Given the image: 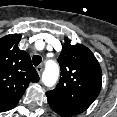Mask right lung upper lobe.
<instances>
[{"instance_id":"cb5924a9","label":"right lung upper lobe","mask_w":117,"mask_h":117,"mask_svg":"<svg viewBox=\"0 0 117 117\" xmlns=\"http://www.w3.org/2000/svg\"><path fill=\"white\" fill-rule=\"evenodd\" d=\"M20 40L21 34L0 38V112L14 108L29 83L39 81L30 56L18 48Z\"/></svg>"}]
</instances>
